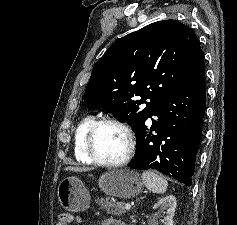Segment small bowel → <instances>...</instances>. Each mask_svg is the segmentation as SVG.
<instances>
[{
    "mask_svg": "<svg viewBox=\"0 0 237 225\" xmlns=\"http://www.w3.org/2000/svg\"><path fill=\"white\" fill-rule=\"evenodd\" d=\"M103 225H125V224L117 219H107L104 221Z\"/></svg>",
    "mask_w": 237,
    "mask_h": 225,
    "instance_id": "1",
    "label": "small bowel"
}]
</instances>
